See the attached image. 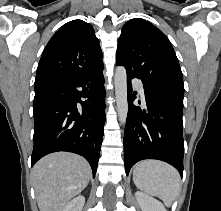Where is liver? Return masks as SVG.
Instances as JSON below:
<instances>
[{
	"mask_svg": "<svg viewBox=\"0 0 221 211\" xmlns=\"http://www.w3.org/2000/svg\"><path fill=\"white\" fill-rule=\"evenodd\" d=\"M91 169L81 156L56 152L40 159L32 170L40 211H63L89 183Z\"/></svg>",
	"mask_w": 221,
	"mask_h": 211,
	"instance_id": "liver-1",
	"label": "liver"
}]
</instances>
